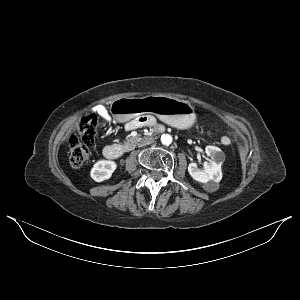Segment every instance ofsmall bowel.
Returning <instances> with one entry per match:
<instances>
[{
	"instance_id": "c3829d8e",
	"label": "small bowel",
	"mask_w": 300,
	"mask_h": 300,
	"mask_svg": "<svg viewBox=\"0 0 300 300\" xmlns=\"http://www.w3.org/2000/svg\"><path fill=\"white\" fill-rule=\"evenodd\" d=\"M96 111L102 116L106 115V112L101 108L96 109ZM140 125H142V120H140V119H135V120L130 122V127H138ZM222 143L223 144H229L230 143L229 138L228 137H223Z\"/></svg>"
}]
</instances>
